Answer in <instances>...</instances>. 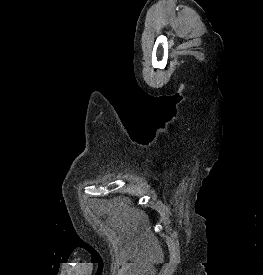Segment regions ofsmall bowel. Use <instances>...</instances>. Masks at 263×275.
Listing matches in <instances>:
<instances>
[{"label":"small bowel","mask_w":263,"mask_h":275,"mask_svg":"<svg viewBox=\"0 0 263 275\" xmlns=\"http://www.w3.org/2000/svg\"><path fill=\"white\" fill-rule=\"evenodd\" d=\"M142 258L136 252L133 255V260L123 261L117 275H134L139 266L142 264Z\"/></svg>","instance_id":"c3829d8e"}]
</instances>
